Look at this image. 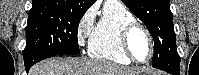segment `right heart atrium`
I'll list each match as a JSON object with an SVG mask.
<instances>
[{
    "instance_id": "right-heart-atrium-1",
    "label": "right heart atrium",
    "mask_w": 199,
    "mask_h": 75,
    "mask_svg": "<svg viewBox=\"0 0 199 75\" xmlns=\"http://www.w3.org/2000/svg\"><path fill=\"white\" fill-rule=\"evenodd\" d=\"M95 13L93 10H88L77 27V41L80 47H83L86 41L90 38V35L94 28Z\"/></svg>"
}]
</instances>
